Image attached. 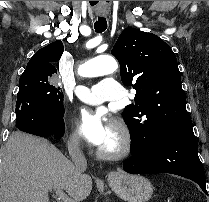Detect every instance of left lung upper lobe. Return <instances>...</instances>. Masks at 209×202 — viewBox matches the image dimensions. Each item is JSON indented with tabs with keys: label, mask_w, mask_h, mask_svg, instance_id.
<instances>
[{
	"label": "left lung upper lobe",
	"mask_w": 209,
	"mask_h": 202,
	"mask_svg": "<svg viewBox=\"0 0 209 202\" xmlns=\"http://www.w3.org/2000/svg\"><path fill=\"white\" fill-rule=\"evenodd\" d=\"M112 54L120 63L122 82L136 90L135 104L122 112L131 142L155 144L192 128L177 59L167 43L154 34L126 28Z\"/></svg>",
	"instance_id": "left-lung-upper-lobe-1"
}]
</instances>
